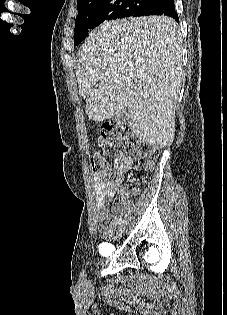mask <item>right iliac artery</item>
Here are the masks:
<instances>
[{
	"instance_id": "obj_1",
	"label": "right iliac artery",
	"mask_w": 227,
	"mask_h": 315,
	"mask_svg": "<svg viewBox=\"0 0 227 315\" xmlns=\"http://www.w3.org/2000/svg\"><path fill=\"white\" fill-rule=\"evenodd\" d=\"M123 223V219L120 217L116 219V224L121 225Z\"/></svg>"
}]
</instances>
